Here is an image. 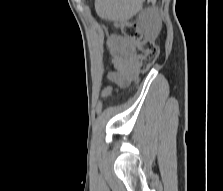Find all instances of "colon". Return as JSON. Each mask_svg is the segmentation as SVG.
<instances>
[{"label": "colon", "instance_id": "colon-1", "mask_svg": "<svg viewBox=\"0 0 223 191\" xmlns=\"http://www.w3.org/2000/svg\"><path fill=\"white\" fill-rule=\"evenodd\" d=\"M121 32L142 54L138 72L140 74L145 73L157 60L159 48L152 41L143 37L142 32L135 23H122Z\"/></svg>", "mask_w": 223, "mask_h": 191}]
</instances>
